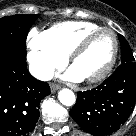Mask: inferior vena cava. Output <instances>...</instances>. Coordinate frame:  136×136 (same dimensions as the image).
I'll return each mask as SVG.
<instances>
[{"label":"inferior vena cava","mask_w":136,"mask_h":136,"mask_svg":"<svg viewBox=\"0 0 136 136\" xmlns=\"http://www.w3.org/2000/svg\"><path fill=\"white\" fill-rule=\"evenodd\" d=\"M29 71L32 76L42 81H47L51 79L54 75L53 69L37 65H30Z\"/></svg>","instance_id":"602c4592"}]
</instances>
